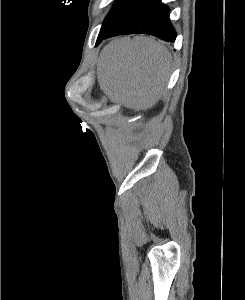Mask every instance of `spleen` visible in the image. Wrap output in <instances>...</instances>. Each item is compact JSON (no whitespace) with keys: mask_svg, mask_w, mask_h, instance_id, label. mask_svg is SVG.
<instances>
[{"mask_svg":"<svg viewBox=\"0 0 245 300\" xmlns=\"http://www.w3.org/2000/svg\"><path fill=\"white\" fill-rule=\"evenodd\" d=\"M170 66L169 51L157 41L147 37L120 38L102 50L97 78L112 102L141 110L157 100Z\"/></svg>","mask_w":245,"mask_h":300,"instance_id":"spleen-1","label":"spleen"}]
</instances>
